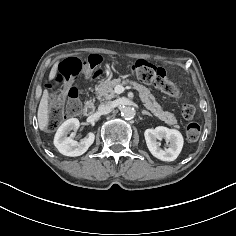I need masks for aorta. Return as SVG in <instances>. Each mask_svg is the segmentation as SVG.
Instances as JSON below:
<instances>
[{"label":"aorta","instance_id":"aorta-1","mask_svg":"<svg viewBox=\"0 0 236 236\" xmlns=\"http://www.w3.org/2000/svg\"><path fill=\"white\" fill-rule=\"evenodd\" d=\"M121 115L125 119H133L135 117V110L132 107H124L121 110Z\"/></svg>","mask_w":236,"mask_h":236}]
</instances>
